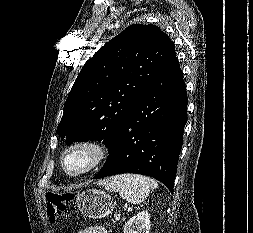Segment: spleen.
<instances>
[{"label":"spleen","instance_id":"spleen-1","mask_svg":"<svg viewBox=\"0 0 253 233\" xmlns=\"http://www.w3.org/2000/svg\"><path fill=\"white\" fill-rule=\"evenodd\" d=\"M158 188V184L152 178L139 174H120L111 177L105 185V189L118 192L119 195L132 204L142 203L149 195L150 190Z\"/></svg>","mask_w":253,"mask_h":233}]
</instances>
